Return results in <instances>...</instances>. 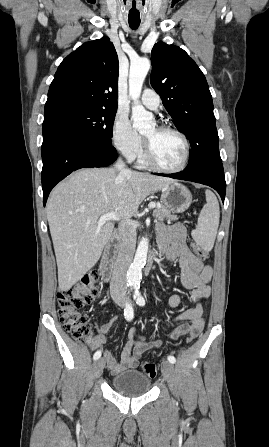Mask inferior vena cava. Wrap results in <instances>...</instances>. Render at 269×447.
Returning a JSON list of instances; mask_svg holds the SVG:
<instances>
[{"mask_svg": "<svg viewBox=\"0 0 269 447\" xmlns=\"http://www.w3.org/2000/svg\"><path fill=\"white\" fill-rule=\"evenodd\" d=\"M115 168L119 174H131L122 160H117ZM119 233L122 235V245L119 249L117 259L114 263L113 273L110 281L111 295L126 293L127 271L133 259L136 247V227L131 220H123L118 225Z\"/></svg>", "mask_w": 269, "mask_h": 447, "instance_id": "1", "label": "inferior vena cava"}]
</instances>
